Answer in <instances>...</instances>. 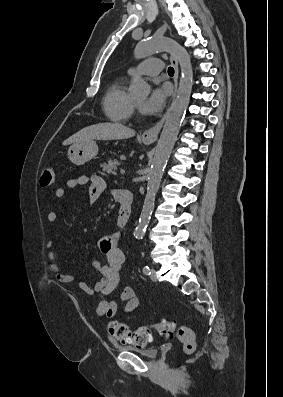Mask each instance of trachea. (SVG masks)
<instances>
[{
	"instance_id": "obj_1",
	"label": "trachea",
	"mask_w": 283,
	"mask_h": 397,
	"mask_svg": "<svg viewBox=\"0 0 283 397\" xmlns=\"http://www.w3.org/2000/svg\"><path fill=\"white\" fill-rule=\"evenodd\" d=\"M168 74H169L170 76H173V75H174V69H173L172 67H169V68H168Z\"/></svg>"
}]
</instances>
